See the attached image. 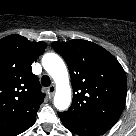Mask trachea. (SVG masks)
Listing matches in <instances>:
<instances>
[{"label": "trachea", "mask_w": 136, "mask_h": 136, "mask_svg": "<svg viewBox=\"0 0 136 136\" xmlns=\"http://www.w3.org/2000/svg\"><path fill=\"white\" fill-rule=\"evenodd\" d=\"M41 84H42L44 87L50 86V84H51L50 77L47 76V75L42 76V78H41Z\"/></svg>", "instance_id": "obj_1"}]
</instances>
